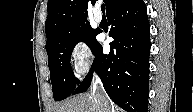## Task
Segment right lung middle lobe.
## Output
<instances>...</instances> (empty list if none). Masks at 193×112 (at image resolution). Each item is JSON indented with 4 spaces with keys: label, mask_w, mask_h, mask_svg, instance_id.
<instances>
[{
    "label": "right lung middle lobe",
    "mask_w": 193,
    "mask_h": 112,
    "mask_svg": "<svg viewBox=\"0 0 193 112\" xmlns=\"http://www.w3.org/2000/svg\"><path fill=\"white\" fill-rule=\"evenodd\" d=\"M97 34L98 31L94 30L90 24H85L66 29L46 43L45 48L48 54V66L55 101L63 100L71 95L80 82L75 78L70 64L73 48L78 42L83 41L95 54L100 46V43L95 39Z\"/></svg>",
    "instance_id": "1"
}]
</instances>
